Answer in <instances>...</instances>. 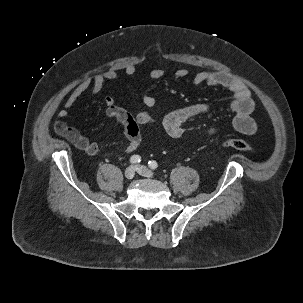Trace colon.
<instances>
[{"label":"colon","mask_w":303,"mask_h":303,"mask_svg":"<svg viewBox=\"0 0 303 303\" xmlns=\"http://www.w3.org/2000/svg\"><path fill=\"white\" fill-rule=\"evenodd\" d=\"M222 145L226 147H231L237 150L241 151H249V152H255V148L251 146L249 143L242 139H235V138H225L222 141Z\"/></svg>","instance_id":"5ec220e1"}]
</instances>
